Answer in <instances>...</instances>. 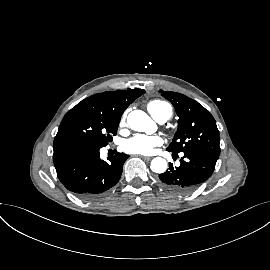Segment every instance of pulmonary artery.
Returning a JSON list of instances; mask_svg holds the SVG:
<instances>
[{"label": "pulmonary artery", "instance_id": "obj_1", "mask_svg": "<svg viewBox=\"0 0 270 270\" xmlns=\"http://www.w3.org/2000/svg\"><path fill=\"white\" fill-rule=\"evenodd\" d=\"M159 123H165L167 121L166 118H160L157 120Z\"/></svg>", "mask_w": 270, "mask_h": 270}]
</instances>
